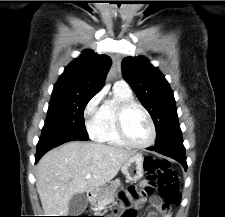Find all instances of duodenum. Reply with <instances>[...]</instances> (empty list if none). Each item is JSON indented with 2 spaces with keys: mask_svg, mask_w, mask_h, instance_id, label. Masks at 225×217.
<instances>
[{
  "mask_svg": "<svg viewBox=\"0 0 225 217\" xmlns=\"http://www.w3.org/2000/svg\"><path fill=\"white\" fill-rule=\"evenodd\" d=\"M87 197L90 201L94 200L95 198V192L93 190L88 191Z\"/></svg>",
  "mask_w": 225,
  "mask_h": 217,
  "instance_id": "1",
  "label": "duodenum"
}]
</instances>
